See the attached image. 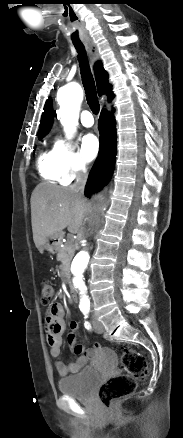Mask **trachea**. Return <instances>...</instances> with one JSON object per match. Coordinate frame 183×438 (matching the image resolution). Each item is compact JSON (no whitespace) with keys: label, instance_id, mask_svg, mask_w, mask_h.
Masks as SVG:
<instances>
[{"label":"trachea","instance_id":"trachea-1","mask_svg":"<svg viewBox=\"0 0 183 438\" xmlns=\"http://www.w3.org/2000/svg\"><path fill=\"white\" fill-rule=\"evenodd\" d=\"M78 52V60L81 67V78L86 94L87 103L94 114H98L100 105L96 93L95 81L90 71L87 54L82 43H74Z\"/></svg>","mask_w":183,"mask_h":438}]
</instances>
